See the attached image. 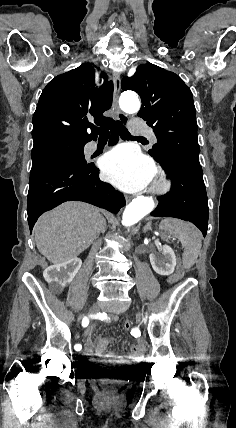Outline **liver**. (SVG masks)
I'll use <instances>...</instances> for the list:
<instances>
[{
    "label": "liver",
    "instance_id": "6515ba94",
    "mask_svg": "<svg viewBox=\"0 0 236 428\" xmlns=\"http://www.w3.org/2000/svg\"><path fill=\"white\" fill-rule=\"evenodd\" d=\"M105 230L98 208L83 202H65L40 216L34 226L36 246L52 264L79 256Z\"/></svg>",
    "mask_w": 236,
    "mask_h": 428
}]
</instances>
